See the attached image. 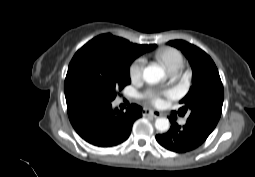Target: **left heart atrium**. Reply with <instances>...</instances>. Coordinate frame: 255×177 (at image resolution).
<instances>
[{
  "instance_id": "left-heart-atrium-1",
  "label": "left heart atrium",
  "mask_w": 255,
  "mask_h": 177,
  "mask_svg": "<svg viewBox=\"0 0 255 177\" xmlns=\"http://www.w3.org/2000/svg\"><path fill=\"white\" fill-rule=\"evenodd\" d=\"M148 95L152 99L153 103H155V104H159L160 103L161 100H160V96L159 95L151 94V93H149ZM166 95L169 96V94H166Z\"/></svg>"
}]
</instances>
